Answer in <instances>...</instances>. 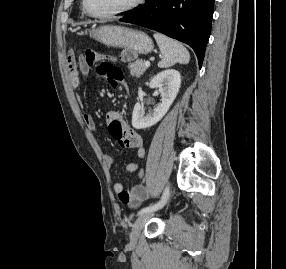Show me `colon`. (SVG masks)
Listing matches in <instances>:
<instances>
[{
  "mask_svg": "<svg viewBox=\"0 0 286 269\" xmlns=\"http://www.w3.org/2000/svg\"><path fill=\"white\" fill-rule=\"evenodd\" d=\"M136 49H121V55L120 57H117V62H134L136 59ZM86 56L92 60L96 57L95 53L93 51H88L86 53ZM101 69H106L109 71L112 83H114L116 80L120 79L122 76V72L120 68L116 65H112L110 62H102L100 64ZM112 125L110 127V133L114 140L118 142V144L122 148H126L128 146L127 140L124 136V133L121 129V126L124 125L123 121H113Z\"/></svg>",
  "mask_w": 286,
  "mask_h": 269,
  "instance_id": "colon-1",
  "label": "colon"
}]
</instances>
